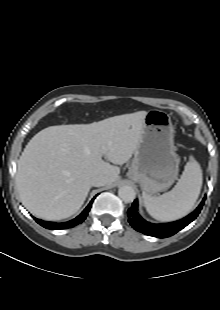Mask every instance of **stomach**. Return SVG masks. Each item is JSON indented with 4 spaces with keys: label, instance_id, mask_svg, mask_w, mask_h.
Returning a JSON list of instances; mask_svg holds the SVG:
<instances>
[{
    "label": "stomach",
    "instance_id": "1",
    "mask_svg": "<svg viewBox=\"0 0 220 310\" xmlns=\"http://www.w3.org/2000/svg\"><path fill=\"white\" fill-rule=\"evenodd\" d=\"M173 133L169 114L161 110L147 112L128 177L150 196L169 188L177 179L179 158Z\"/></svg>",
    "mask_w": 220,
    "mask_h": 310
}]
</instances>
